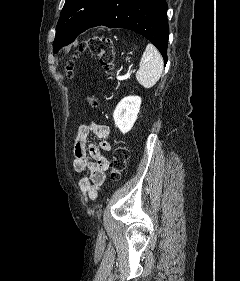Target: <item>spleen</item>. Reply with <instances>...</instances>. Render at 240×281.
Here are the masks:
<instances>
[{
  "mask_svg": "<svg viewBox=\"0 0 240 281\" xmlns=\"http://www.w3.org/2000/svg\"><path fill=\"white\" fill-rule=\"evenodd\" d=\"M163 58L154 45L149 43L144 51L136 79L140 85L149 89L160 79L163 72Z\"/></svg>",
  "mask_w": 240,
  "mask_h": 281,
  "instance_id": "1",
  "label": "spleen"
}]
</instances>
